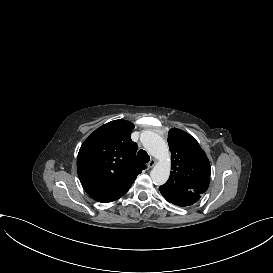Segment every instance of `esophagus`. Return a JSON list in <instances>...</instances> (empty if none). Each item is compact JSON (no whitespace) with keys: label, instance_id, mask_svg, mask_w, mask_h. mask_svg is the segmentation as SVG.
I'll use <instances>...</instances> for the list:
<instances>
[{"label":"esophagus","instance_id":"obj_1","mask_svg":"<svg viewBox=\"0 0 273 273\" xmlns=\"http://www.w3.org/2000/svg\"><path fill=\"white\" fill-rule=\"evenodd\" d=\"M156 162H157V161H156L155 159L152 158V159L149 161L147 167H148V168L154 167L155 164H156Z\"/></svg>","mask_w":273,"mask_h":273}]
</instances>
